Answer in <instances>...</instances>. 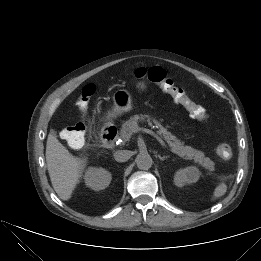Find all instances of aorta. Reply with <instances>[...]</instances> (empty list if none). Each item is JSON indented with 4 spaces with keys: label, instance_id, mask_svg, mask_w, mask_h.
Instances as JSON below:
<instances>
[{
    "label": "aorta",
    "instance_id": "obj_1",
    "mask_svg": "<svg viewBox=\"0 0 261 261\" xmlns=\"http://www.w3.org/2000/svg\"><path fill=\"white\" fill-rule=\"evenodd\" d=\"M135 162L137 164V167L141 170H148L153 164V160L148 153L138 154Z\"/></svg>",
    "mask_w": 261,
    "mask_h": 261
}]
</instances>
